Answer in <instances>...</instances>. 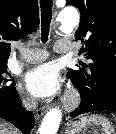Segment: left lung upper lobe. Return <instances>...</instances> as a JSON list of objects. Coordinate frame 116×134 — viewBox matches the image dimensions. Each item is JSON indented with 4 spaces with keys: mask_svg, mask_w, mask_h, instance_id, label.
<instances>
[{
    "mask_svg": "<svg viewBox=\"0 0 116 134\" xmlns=\"http://www.w3.org/2000/svg\"><path fill=\"white\" fill-rule=\"evenodd\" d=\"M68 5L79 8L81 20L75 32L76 41L86 46L85 56L90 63L79 70L69 68L81 93L94 97L113 90L116 80V0H66Z\"/></svg>",
    "mask_w": 116,
    "mask_h": 134,
    "instance_id": "5c2ea615",
    "label": "left lung upper lobe"
}]
</instances>
